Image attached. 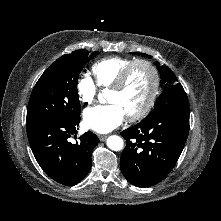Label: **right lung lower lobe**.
<instances>
[{
  "label": "right lung lower lobe",
  "instance_id": "1",
  "mask_svg": "<svg viewBox=\"0 0 221 221\" xmlns=\"http://www.w3.org/2000/svg\"><path fill=\"white\" fill-rule=\"evenodd\" d=\"M80 118L55 117L27 123L32 152L43 171L60 184L79 183L91 169V152L99 139L88 131L80 141H68L77 133Z\"/></svg>",
  "mask_w": 221,
  "mask_h": 221
}]
</instances>
